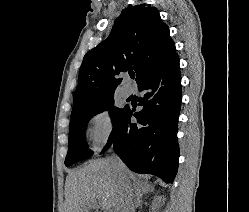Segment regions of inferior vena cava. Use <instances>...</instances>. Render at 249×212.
<instances>
[{
	"instance_id": "inferior-vena-cava-1",
	"label": "inferior vena cava",
	"mask_w": 249,
	"mask_h": 212,
	"mask_svg": "<svg viewBox=\"0 0 249 212\" xmlns=\"http://www.w3.org/2000/svg\"><path fill=\"white\" fill-rule=\"evenodd\" d=\"M110 162L113 168H119V166H124L119 156H116V154H112ZM117 188L120 200V212H133L131 186L129 184V180L125 172H121V170H117Z\"/></svg>"
}]
</instances>
